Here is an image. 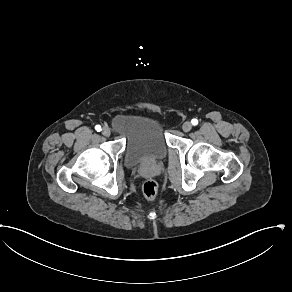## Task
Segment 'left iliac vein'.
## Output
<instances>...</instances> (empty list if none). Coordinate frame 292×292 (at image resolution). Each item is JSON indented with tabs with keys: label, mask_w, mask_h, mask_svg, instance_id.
I'll use <instances>...</instances> for the list:
<instances>
[{
	"label": "left iliac vein",
	"mask_w": 292,
	"mask_h": 292,
	"mask_svg": "<svg viewBox=\"0 0 292 292\" xmlns=\"http://www.w3.org/2000/svg\"><path fill=\"white\" fill-rule=\"evenodd\" d=\"M182 129L184 132H189L192 129V124L189 121H186L183 123Z\"/></svg>",
	"instance_id": "left-iliac-vein-1"
}]
</instances>
